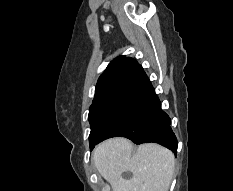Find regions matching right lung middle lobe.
<instances>
[{
    "instance_id": "dd1d6c3e",
    "label": "right lung middle lobe",
    "mask_w": 233,
    "mask_h": 191,
    "mask_svg": "<svg viewBox=\"0 0 233 191\" xmlns=\"http://www.w3.org/2000/svg\"><path fill=\"white\" fill-rule=\"evenodd\" d=\"M127 98L128 95L125 92L92 103L88 116L91 125L89 136L90 147L123 109Z\"/></svg>"
}]
</instances>
